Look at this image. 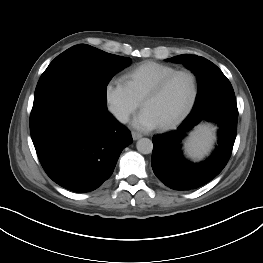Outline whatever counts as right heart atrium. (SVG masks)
<instances>
[{"label": "right heart atrium", "instance_id": "right-heart-atrium-1", "mask_svg": "<svg viewBox=\"0 0 263 263\" xmlns=\"http://www.w3.org/2000/svg\"><path fill=\"white\" fill-rule=\"evenodd\" d=\"M104 100L108 111L120 123L128 121L140 106L123 80L113 77L104 86Z\"/></svg>", "mask_w": 263, "mask_h": 263}]
</instances>
